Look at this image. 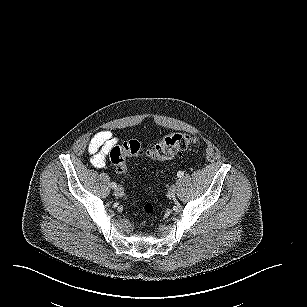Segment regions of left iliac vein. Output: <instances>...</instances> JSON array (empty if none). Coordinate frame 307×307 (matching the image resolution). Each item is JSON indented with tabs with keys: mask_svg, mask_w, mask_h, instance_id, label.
I'll use <instances>...</instances> for the list:
<instances>
[{
	"mask_svg": "<svg viewBox=\"0 0 307 307\" xmlns=\"http://www.w3.org/2000/svg\"><path fill=\"white\" fill-rule=\"evenodd\" d=\"M176 192H177V185L174 184L169 188V194L173 196L176 195Z\"/></svg>",
	"mask_w": 307,
	"mask_h": 307,
	"instance_id": "4c4485c4",
	"label": "left iliac vein"
}]
</instances>
